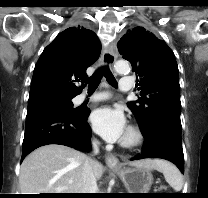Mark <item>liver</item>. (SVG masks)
Segmentation results:
<instances>
[{"label":"liver","instance_id":"6515ba94","mask_svg":"<svg viewBox=\"0 0 208 198\" xmlns=\"http://www.w3.org/2000/svg\"><path fill=\"white\" fill-rule=\"evenodd\" d=\"M85 159V154L64 145L50 144L36 149L22 162L19 175L21 194L80 193ZM130 165L159 170L160 161L146 159ZM103 170V165L95 161L96 179L102 177Z\"/></svg>","mask_w":208,"mask_h":198}]
</instances>
